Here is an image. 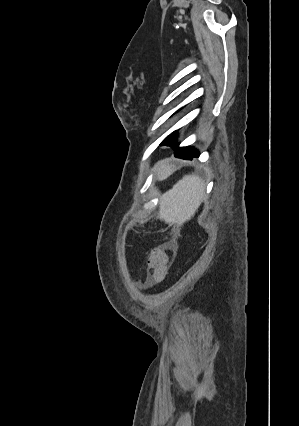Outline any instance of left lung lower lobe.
Here are the masks:
<instances>
[{
	"label": "left lung lower lobe",
	"mask_w": 299,
	"mask_h": 426,
	"mask_svg": "<svg viewBox=\"0 0 299 426\" xmlns=\"http://www.w3.org/2000/svg\"><path fill=\"white\" fill-rule=\"evenodd\" d=\"M175 151V156L182 159L191 160L193 157H199V152L193 147H179L177 141L171 146Z\"/></svg>",
	"instance_id": "left-lung-lower-lobe-1"
}]
</instances>
